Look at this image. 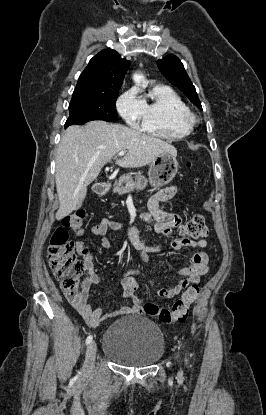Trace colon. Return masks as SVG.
Segmentation results:
<instances>
[{"label": "colon", "instance_id": "1", "mask_svg": "<svg viewBox=\"0 0 266 415\" xmlns=\"http://www.w3.org/2000/svg\"><path fill=\"white\" fill-rule=\"evenodd\" d=\"M191 166V163H188ZM85 213L75 212L62 221L50 240L47 249L48 264L60 281L62 292L69 302L75 301L79 296V281L85 271L84 262L76 257L74 243L69 240L68 229L77 233L82 232ZM181 235L200 239L208 234V228L202 215H195L185 224L178 227ZM199 293L195 286L187 289L177 299L170 309L161 308L153 303H146L142 306V313L159 319L163 323L184 322L189 314L190 306L194 303Z\"/></svg>", "mask_w": 266, "mask_h": 415}]
</instances>
